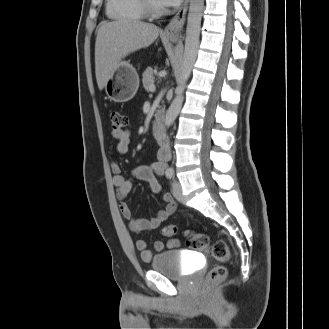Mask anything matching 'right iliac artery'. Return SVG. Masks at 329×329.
<instances>
[{
    "instance_id": "1",
    "label": "right iliac artery",
    "mask_w": 329,
    "mask_h": 329,
    "mask_svg": "<svg viewBox=\"0 0 329 329\" xmlns=\"http://www.w3.org/2000/svg\"><path fill=\"white\" fill-rule=\"evenodd\" d=\"M166 177H167L168 179H171V178L173 177V172H171V171H167V172H166Z\"/></svg>"
}]
</instances>
